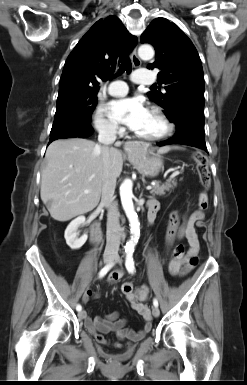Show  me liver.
I'll use <instances>...</instances> for the list:
<instances>
[{
	"instance_id": "6515ba94",
	"label": "liver",
	"mask_w": 247,
	"mask_h": 385,
	"mask_svg": "<svg viewBox=\"0 0 247 385\" xmlns=\"http://www.w3.org/2000/svg\"><path fill=\"white\" fill-rule=\"evenodd\" d=\"M108 154V170L118 178L123 167L122 152L110 147ZM103 155L101 145L78 137L55 140L48 146L40 195L53 219L65 222L98 205L107 170Z\"/></svg>"
}]
</instances>
